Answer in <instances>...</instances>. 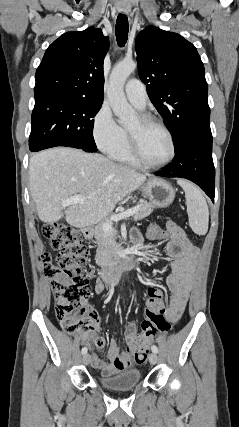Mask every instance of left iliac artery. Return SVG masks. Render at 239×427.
<instances>
[{"label": "left iliac artery", "instance_id": "left-iliac-artery-1", "mask_svg": "<svg viewBox=\"0 0 239 427\" xmlns=\"http://www.w3.org/2000/svg\"><path fill=\"white\" fill-rule=\"evenodd\" d=\"M151 349H152V352L158 353V347L156 345H153Z\"/></svg>", "mask_w": 239, "mask_h": 427}]
</instances>
